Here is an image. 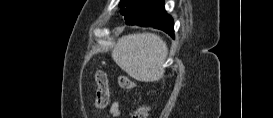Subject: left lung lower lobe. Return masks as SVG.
Segmentation results:
<instances>
[{
  "mask_svg": "<svg viewBox=\"0 0 273 118\" xmlns=\"http://www.w3.org/2000/svg\"><path fill=\"white\" fill-rule=\"evenodd\" d=\"M140 25L144 27H154L163 30L174 38V22L170 15L163 8L160 12L146 18L145 20L131 23V25Z\"/></svg>",
  "mask_w": 273,
  "mask_h": 118,
  "instance_id": "left-lung-lower-lobe-1",
  "label": "left lung lower lobe"
}]
</instances>
